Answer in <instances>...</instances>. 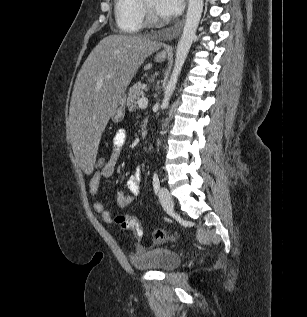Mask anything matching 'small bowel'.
<instances>
[{"mask_svg": "<svg viewBox=\"0 0 307 317\" xmlns=\"http://www.w3.org/2000/svg\"><path fill=\"white\" fill-rule=\"evenodd\" d=\"M127 141V133L124 129H119L116 131L113 137V152L111 157L108 159L107 163L101 170H96L89 181V191L90 194L96 196L98 193L100 181L102 178H109L113 176L116 165L120 156L121 151L123 150ZM142 179V169L141 167L137 166L134 168L132 174L128 177L126 181V189L125 191H119L117 194V202L121 207H128L131 205L135 198L140 194L141 183ZM94 210L98 214L101 215L102 219L107 222L111 223L113 218L111 214L106 210L104 204L100 201H95Z\"/></svg>", "mask_w": 307, "mask_h": 317, "instance_id": "obj_1", "label": "small bowel"}]
</instances>
